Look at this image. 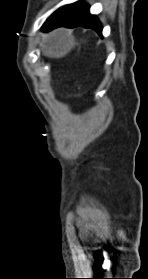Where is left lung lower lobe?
Returning <instances> with one entry per match:
<instances>
[{
  "mask_svg": "<svg viewBox=\"0 0 148 279\" xmlns=\"http://www.w3.org/2000/svg\"><path fill=\"white\" fill-rule=\"evenodd\" d=\"M83 26L92 28L102 34V25L98 18L89 13V5L85 2H76L63 6L55 11L42 26V31L48 32L58 27L74 28Z\"/></svg>",
  "mask_w": 148,
  "mask_h": 279,
  "instance_id": "0a47b994",
  "label": "left lung lower lobe"
}]
</instances>
